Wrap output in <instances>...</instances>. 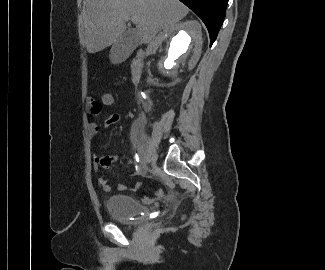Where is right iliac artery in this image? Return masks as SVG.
Listing matches in <instances>:
<instances>
[{"label": "right iliac artery", "instance_id": "82829eb1", "mask_svg": "<svg viewBox=\"0 0 325 270\" xmlns=\"http://www.w3.org/2000/svg\"><path fill=\"white\" fill-rule=\"evenodd\" d=\"M153 146L152 144L150 143V141L148 140L147 141V150H146V158H148L153 150Z\"/></svg>", "mask_w": 325, "mask_h": 270}]
</instances>
